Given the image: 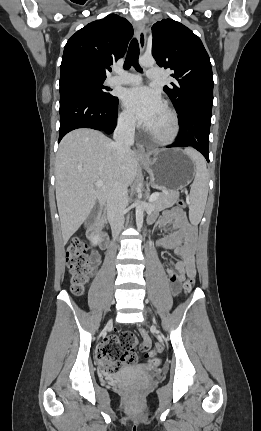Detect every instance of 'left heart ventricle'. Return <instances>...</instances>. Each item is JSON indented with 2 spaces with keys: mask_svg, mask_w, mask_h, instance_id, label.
<instances>
[{
  "mask_svg": "<svg viewBox=\"0 0 261 431\" xmlns=\"http://www.w3.org/2000/svg\"><path fill=\"white\" fill-rule=\"evenodd\" d=\"M170 119L165 110L158 116L154 124L149 128L159 134H165L170 130Z\"/></svg>",
  "mask_w": 261,
  "mask_h": 431,
  "instance_id": "left-heart-ventricle-1",
  "label": "left heart ventricle"
}]
</instances>
